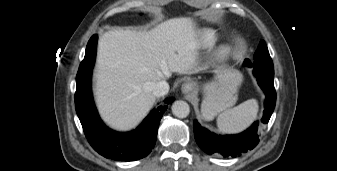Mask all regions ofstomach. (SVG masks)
<instances>
[{
    "label": "stomach",
    "instance_id": "obj_1",
    "mask_svg": "<svg viewBox=\"0 0 337 171\" xmlns=\"http://www.w3.org/2000/svg\"><path fill=\"white\" fill-rule=\"evenodd\" d=\"M241 81L240 72L227 69L217 76V81L206 84L201 105L202 117L211 120L218 113L233 106L237 100V89Z\"/></svg>",
    "mask_w": 337,
    "mask_h": 171
}]
</instances>
